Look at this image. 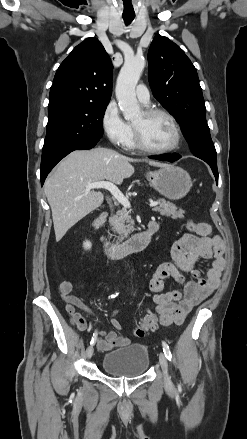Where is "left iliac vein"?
Here are the masks:
<instances>
[{"label":"left iliac vein","instance_id":"1","mask_svg":"<svg viewBox=\"0 0 247 439\" xmlns=\"http://www.w3.org/2000/svg\"><path fill=\"white\" fill-rule=\"evenodd\" d=\"M159 363L161 365V368H162V371H163V374H164L165 385L167 387H171L172 386V382H171L170 376L168 374L167 358L164 355V353H162V352L159 354Z\"/></svg>","mask_w":247,"mask_h":439}]
</instances>
